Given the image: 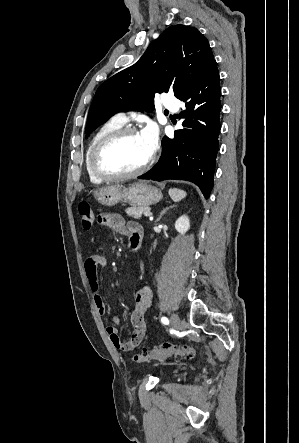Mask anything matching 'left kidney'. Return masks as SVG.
Instances as JSON below:
<instances>
[{
    "mask_svg": "<svg viewBox=\"0 0 299 443\" xmlns=\"http://www.w3.org/2000/svg\"><path fill=\"white\" fill-rule=\"evenodd\" d=\"M175 229L181 235H184L190 229V220L188 216L183 215L179 217L175 222Z\"/></svg>",
    "mask_w": 299,
    "mask_h": 443,
    "instance_id": "left-kidney-1",
    "label": "left kidney"
}]
</instances>
